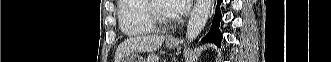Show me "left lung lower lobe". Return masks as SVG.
I'll return each mask as SVG.
<instances>
[{"label": "left lung lower lobe", "mask_w": 331, "mask_h": 62, "mask_svg": "<svg viewBox=\"0 0 331 62\" xmlns=\"http://www.w3.org/2000/svg\"><path fill=\"white\" fill-rule=\"evenodd\" d=\"M222 0H218V4H220ZM222 17L220 14L219 8H217L216 15L213 19V23L209 33L202 39V42H211L219 47L221 46L222 34L219 30V22L221 21Z\"/></svg>", "instance_id": "1"}]
</instances>
